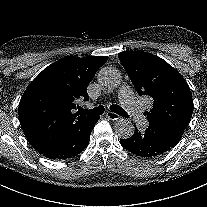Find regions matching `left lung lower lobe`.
Masks as SVG:
<instances>
[{
  "label": "left lung lower lobe",
  "mask_w": 207,
  "mask_h": 207,
  "mask_svg": "<svg viewBox=\"0 0 207 207\" xmlns=\"http://www.w3.org/2000/svg\"><path fill=\"white\" fill-rule=\"evenodd\" d=\"M135 132L128 139H120L121 145L133 154L141 157H154L173 148L153 132L146 130L141 133L135 127Z\"/></svg>",
  "instance_id": "1"
}]
</instances>
